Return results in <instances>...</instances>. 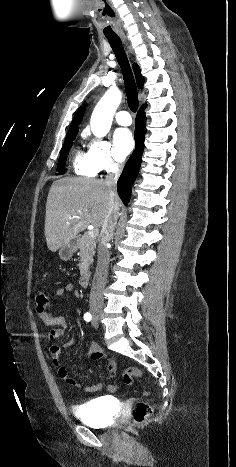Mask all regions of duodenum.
<instances>
[{"label": "duodenum", "instance_id": "410a0bca", "mask_svg": "<svg viewBox=\"0 0 236 467\" xmlns=\"http://www.w3.org/2000/svg\"><path fill=\"white\" fill-rule=\"evenodd\" d=\"M90 283V274L87 271H84L80 277V285L83 288H87Z\"/></svg>", "mask_w": 236, "mask_h": 467}]
</instances>
